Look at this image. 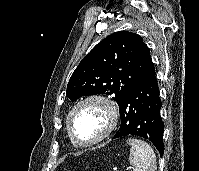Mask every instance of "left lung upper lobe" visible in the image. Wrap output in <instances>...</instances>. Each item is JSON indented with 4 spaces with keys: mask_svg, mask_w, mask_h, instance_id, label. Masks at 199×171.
<instances>
[{
    "mask_svg": "<svg viewBox=\"0 0 199 171\" xmlns=\"http://www.w3.org/2000/svg\"><path fill=\"white\" fill-rule=\"evenodd\" d=\"M148 47L135 33H112L97 44L74 70L66 96L107 94L119 105L136 81L152 66Z\"/></svg>",
    "mask_w": 199,
    "mask_h": 171,
    "instance_id": "5c2ea615",
    "label": "left lung upper lobe"
}]
</instances>
